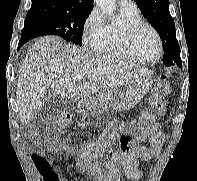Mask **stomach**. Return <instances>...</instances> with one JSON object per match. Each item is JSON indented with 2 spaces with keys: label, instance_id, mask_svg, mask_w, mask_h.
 Wrapping results in <instances>:
<instances>
[{
  "label": "stomach",
  "instance_id": "obj_1",
  "mask_svg": "<svg viewBox=\"0 0 197 181\" xmlns=\"http://www.w3.org/2000/svg\"><path fill=\"white\" fill-rule=\"evenodd\" d=\"M153 84L152 74L145 75L122 90H106L94 97L83 98L78 107L90 115H98L108 109L129 111L147 94Z\"/></svg>",
  "mask_w": 197,
  "mask_h": 181
}]
</instances>
